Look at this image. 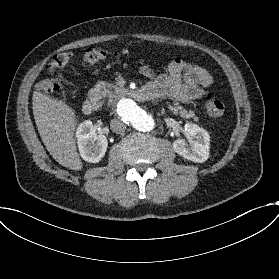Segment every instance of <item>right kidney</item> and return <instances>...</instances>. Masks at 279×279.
<instances>
[{
    "mask_svg": "<svg viewBox=\"0 0 279 279\" xmlns=\"http://www.w3.org/2000/svg\"><path fill=\"white\" fill-rule=\"evenodd\" d=\"M76 137L81 157L91 163H98L104 157L108 141L102 134H96L91 121H85L77 129Z\"/></svg>",
    "mask_w": 279,
    "mask_h": 279,
    "instance_id": "ca27d5eb",
    "label": "right kidney"
}]
</instances>
